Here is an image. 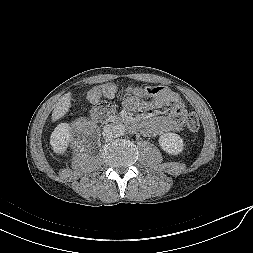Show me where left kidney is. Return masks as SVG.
I'll return each instance as SVG.
<instances>
[{
  "label": "left kidney",
  "mask_w": 253,
  "mask_h": 253,
  "mask_svg": "<svg viewBox=\"0 0 253 253\" xmlns=\"http://www.w3.org/2000/svg\"><path fill=\"white\" fill-rule=\"evenodd\" d=\"M158 141L160 147L168 154L178 155L183 151V140L176 133H165Z\"/></svg>",
  "instance_id": "obj_1"
}]
</instances>
